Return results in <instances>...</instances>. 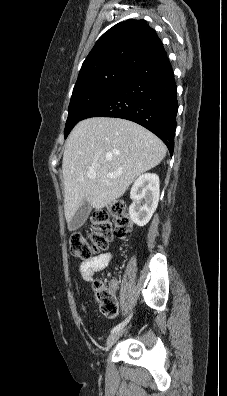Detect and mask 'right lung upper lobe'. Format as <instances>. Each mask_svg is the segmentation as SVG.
<instances>
[{"label": "right lung upper lobe", "mask_w": 227, "mask_h": 396, "mask_svg": "<svg viewBox=\"0 0 227 396\" xmlns=\"http://www.w3.org/2000/svg\"><path fill=\"white\" fill-rule=\"evenodd\" d=\"M163 49L155 30L145 20L120 22L96 42L82 64L77 82L110 68L133 70Z\"/></svg>", "instance_id": "cb5924a9"}]
</instances>
